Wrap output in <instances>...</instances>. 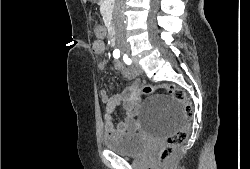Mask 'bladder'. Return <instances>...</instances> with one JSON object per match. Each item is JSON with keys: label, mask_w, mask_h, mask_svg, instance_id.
Segmentation results:
<instances>
[{"label": "bladder", "mask_w": 250, "mask_h": 169, "mask_svg": "<svg viewBox=\"0 0 250 169\" xmlns=\"http://www.w3.org/2000/svg\"><path fill=\"white\" fill-rule=\"evenodd\" d=\"M107 151H113L125 157L141 156L148 150L140 133H109L103 139Z\"/></svg>", "instance_id": "31cf9c89"}]
</instances>
